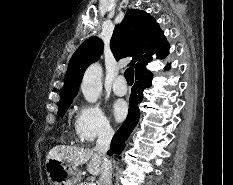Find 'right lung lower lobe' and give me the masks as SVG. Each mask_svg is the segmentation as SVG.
I'll list each match as a JSON object with an SVG mask.
<instances>
[{"label": "right lung lower lobe", "mask_w": 233, "mask_h": 185, "mask_svg": "<svg viewBox=\"0 0 233 185\" xmlns=\"http://www.w3.org/2000/svg\"><path fill=\"white\" fill-rule=\"evenodd\" d=\"M135 75L136 82L131 91L128 116L111 141V147L108 151L109 155L121 153L124 147V142L139 120L140 114L138 106L143 99V90L151 86L153 74L150 71L144 69L136 72Z\"/></svg>", "instance_id": "right-lung-lower-lobe-1"}]
</instances>
